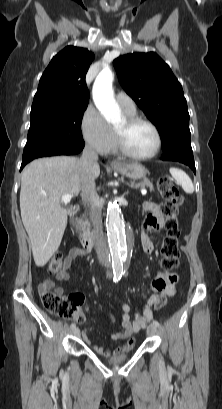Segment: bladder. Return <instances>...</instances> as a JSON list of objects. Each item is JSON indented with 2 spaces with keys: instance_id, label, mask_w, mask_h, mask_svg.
Here are the masks:
<instances>
[{
  "instance_id": "31cf9c89",
  "label": "bladder",
  "mask_w": 222,
  "mask_h": 409,
  "mask_svg": "<svg viewBox=\"0 0 222 409\" xmlns=\"http://www.w3.org/2000/svg\"><path fill=\"white\" fill-rule=\"evenodd\" d=\"M125 359H126V355L121 354V355H117V356L111 357V358L107 361V363L110 364V365H119V364H121L122 362H124Z\"/></svg>"
}]
</instances>
